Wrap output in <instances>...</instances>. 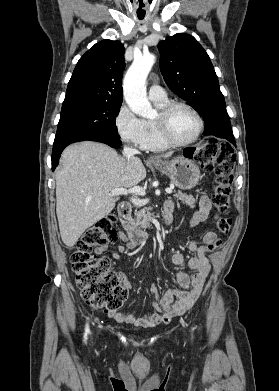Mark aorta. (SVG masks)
<instances>
[{
  "label": "aorta",
  "mask_w": 279,
  "mask_h": 391,
  "mask_svg": "<svg viewBox=\"0 0 279 391\" xmlns=\"http://www.w3.org/2000/svg\"><path fill=\"white\" fill-rule=\"evenodd\" d=\"M155 63L153 54L134 58L123 81L124 99L129 108L137 115L149 118L153 108L146 95V79Z\"/></svg>",
  "instance_id": "obj_1"
}]
</instances>
